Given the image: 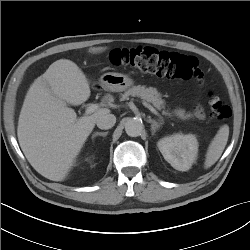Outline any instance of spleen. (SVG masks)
I'll return each mask as SVG.
<instances>
[{"label": "spleen", "mask_w": 250, "mask_h": 250, "mask_svg": "<svg viewBox=\"0 0 250 250\" xmlns=\"http://www.w3.org/2000/svg\"><path fill=\"white\" fill-rule=\"evenodd\" d=\"M228 137H229V126L228 125L221 126L217 134L214 136V138L212 139L211 143L208 146L204 162L205 169L210 168L218 161V159L220 158L225 149Z\"/></svg>", "instance_id": "obj_1"}]
</instances>
